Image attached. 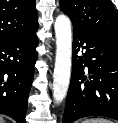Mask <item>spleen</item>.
<instances>
[{
  "label": "spleen",
  "mask_w": 118,
  "mask_h": 123,
  "mask_svg": "<svg viewBox=\"0 0 118 123\" xmlns=\"http://www.w3.org/2000/svg\"><path fill=\"white\" fill-rule=\"evenodd\" d=\"M82 123H112V122L104 118H90L84 120Z\"/></svg>",
  "instance_id": "3e777b00"
}]
</instances>
